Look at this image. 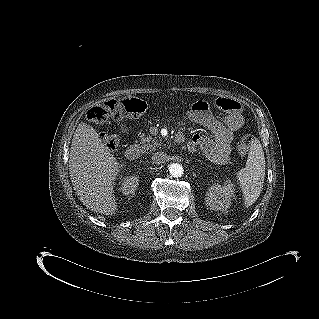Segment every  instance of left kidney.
Listing matches in <instances>:
<instances>
[{"instance_id": "1", "label": "left kidney", "mask_w": 319, "mask_h": 319, "mask_svg": "<svg viewBox=\"0 0 319 319\" xmlns=\"http://www.w3.org/2000/svg\"><path fill=\"white\" fill-rule=\"evenodd\" d=\"M234 196L233 184L212 185L206 194L207 205L215 211H226L231 205V198Z\"/></svg>"}]
</instances>
